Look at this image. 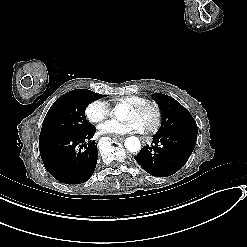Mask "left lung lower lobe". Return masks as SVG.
<instances>
[{
	"label": "left lung lower lobe",
	"mask_w": 247,
	"mask_h": 247,
	"mask_svg": "<svg viewBox=\"0 0 247 247\" xmlns=\"http://www.w3.org/2000/svg\"><path fill=\"white\" fill-rule=\"evenodd\" d=\"M196 140L197 135L189 133H156L154 145L144 146L135 160L153 176H170L185 165Z\"/></svg>",
	"instance_id": "obj_1"
}]
</instances>
